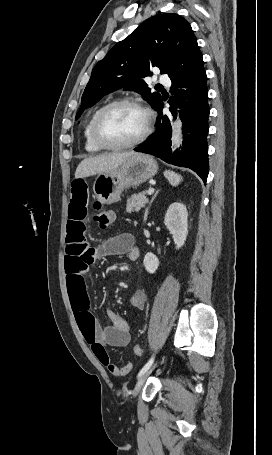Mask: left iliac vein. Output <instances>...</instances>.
I'll list each match as a JSON object with an SVG mask.
<instances>
[{"mask_svg": "<svg viewBox=\"0 0 272 455\" xmlns=\"http://www.w3.org/2000/svg\"><path fill=\"white\" fill-rule=\"evenodd\" d=\"M154 367L155 366H153L151 369H148L143 375L140 376V378L138 379V381H137V383L135 385L134 391H133V395L134 396L138 395V393L140 392L144 382L146 381L147 377L152 372Z\"/></svg>", "mask_w": 272, "mask_h": 455, "instance_id": "1", "label": "left iliac vein"}]
</instances>
